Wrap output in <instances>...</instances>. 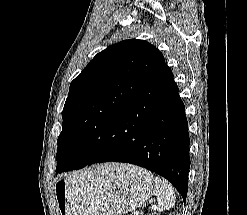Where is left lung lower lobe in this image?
<instances>
[{"label":"left lung lower lobe","mask_w":247,"mask_h":215,"mask_svg":"<svg viewBox=\"0 0 247 215\" xmlns=\"http://www.w3.org/2000/svg\"><path fill=\"white\" fill-rule=\"evenodd\" d=\"M91 154L85 147L69 170L102 162H125L144 167L167 180L186 201L190 168L185 108L171 69L163 61L119 120Z\"/></svg>","instance_id":"0a47b994"}]
</instances>
